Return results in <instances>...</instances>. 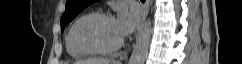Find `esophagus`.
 Wrapping results in <instances>:
<instances>
[{"label": "esophagus", "instance_id": "esophagus-1", "mask_svg": "<svg viewBox=\"0 0 242 64\" xmlns=\"http://www.w3.org/2000/svg\"><path fill=\"white\" fill-rule=\"evenodd\" d=\"M149 5H150V0H146L145 3L143 4L142 15H143L144 22L147 18L148 12H149Z\"/></svg>", "mask_w": 242, "mask_h": 64}]
</instances>
